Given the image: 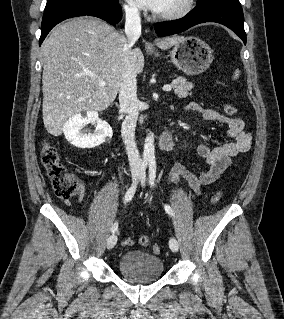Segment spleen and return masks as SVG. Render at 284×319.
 <instances>
[{"instance_id":"3e777b00","label":"spleen","mask_w":284,"mask_h":319,"mask_svg":"<svg viewBox=\"0 0 284 319\" xmlns=\"http://www.w3.org/2000/svg\"><path fill=\"white\" fill-rule=\"evenodd\" d=\"M239 73H240L239 70H236L233 78L237 79L239 77Z\"/></svg>"}]
</instances>
